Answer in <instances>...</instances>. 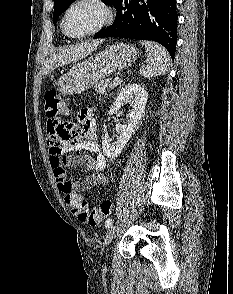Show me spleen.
Listing matches in <instances>:
<instances>
[{
  "mask_svg": "<svg viewBox=\"0 0 233 294\" xmlns=\"http://www.w3.org/2000/svg\"><path fill=\"white\" fill-rule=\"evenodd\" d=\"M146 48L149 62L142 65L140 75L145 78L162 75L168 72L170 60L165 49L158 43L152 41H140Z\"/></svg>",
  "mask_w": 233,
  "mask_h": 294,
  "instance_id": "spleen-1",
  "label": "spleen"
}]
</instances>
